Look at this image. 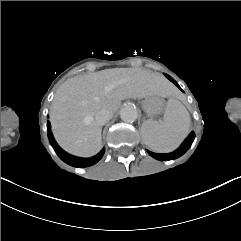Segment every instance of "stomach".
<instances>
[{
  "label": "stomach",
  "mask_w": 241,
  "mask_h": 241,
  "mask_svg": "<svg viewBox=\"0 0 241 241\" xmlns=\"http://www.w3.org/2000/svg\"><path fill=\"white\" fill-rule=\"evenodd\" d=\"M164 101L159 96L146 97L142 101V108L150 118L160 115L164 110Z\"/></svg>",
  "instance_id": "stomach-1"
}]
</instances>
